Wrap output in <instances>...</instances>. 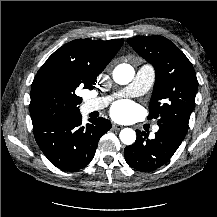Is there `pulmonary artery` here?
Wrapping results in <instances>:
<instances>
[{"mask_svg": "<svg viewBox=\"0 0 217 217\" xmlns=\"http://www.w3.org/2000/svg\"><path fill=\"white\" fill-rule=\"evenodd\" d=\"M154 79H155L154 68L149 64H144L138 69L133 81L116 95L127 96V97L141 96L149 91V89L151 88L154 82ZM109 100L110 97H100V98L90 99L82 104L81 112L83 114H88L94 111L101 110L105 106H107ZM158 130H159L158 125H154L152 127V131L154 133H156Z\"/></svg>", "mask_w": 217, "mask_h": 217, "instance_id": "pulmonary-artery-1", "label": "pulmonary artery"}]
</instances>
